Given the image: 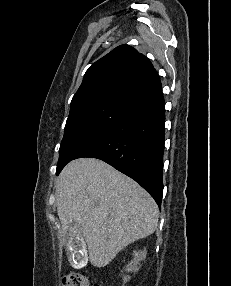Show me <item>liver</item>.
I'll return each instance as SVG.
<instances>
[{
  "label": "liver",
  "instance_id": "obj_1",
  "mask_svg": "<svg viewBox=\"0 0 231 286\" xmlns=\"http://www.w3.org/2000/svg\"><path fill=\"white\" fill-rule=\"evenodd\" d=\"M56 206L63 236L77 223L96 267L106 266L127 245L154 233L158 225L154 199L134 180L94 158L76 159L64 167L56 187Z\"/></svg>",
  "mask_w": 231,
  "mask_h": 286
}]
</instances>
